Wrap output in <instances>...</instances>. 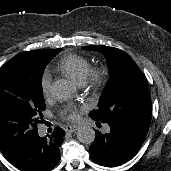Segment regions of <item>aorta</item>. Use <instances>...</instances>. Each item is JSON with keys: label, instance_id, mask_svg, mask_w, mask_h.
<instances>
[{"label": "aorta", "instance_id": "obj_1", "mask_svg": "<svg viewBox=\"0 0 171 171\" xmlns=\"http://www.w3.org/2000/svg\"><path fill=\"white\" fill-rule=\"evenodd\" d=\"M75 85L66 79H59L52 83L51 94L58 100L70 98L75 93ZM77 139L83 144H91L95 140V131L90 126H82L77 131Z\"/></svg>", "mask_w": 171, "mask_h": 171}]
</instances>
